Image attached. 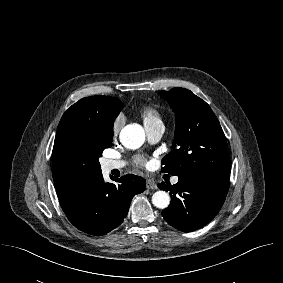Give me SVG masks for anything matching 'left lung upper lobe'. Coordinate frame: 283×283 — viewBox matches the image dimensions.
I'll list each match as a JSON object with an SVG mask.
<instances>
[{"mask_svg":"<svg viewBox=\"0 0 283 283\" xmlns=\"http://www.w3.org/2000/svg\"><path fill=\"white\" fill-rule=\"evenodd\" d=\"M159 94L176 114L173 150L163 158L162 171L212 182H229L226 138L209 105L184 88H173Z\"/></svg>","mask_w":283,"mask_h":283,"instance_id":"5c2ea615","label":"left lung upper lobe"}]
</instances>
